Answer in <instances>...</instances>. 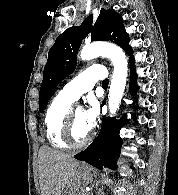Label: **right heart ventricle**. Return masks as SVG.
I'll return each instance as SVG.
<instances>
[{
  "label": "right heart ventricle",
  "mask_w": 178,
  "mask_h": 195,
  "mask_svg": "<svg viewBox=\"0 0 178 195\" xmlns=\"http://www.w3.org/2000/svg\"><path fill=\"white\" fill-rule=\"evenodd\" d=\"M72 101L60 92L50 103L44 118L45 134L50 145L56 149H67L68 145L62 139V127Z\"/></svg>",
  "instance_id": "1"
}]
</instances>
